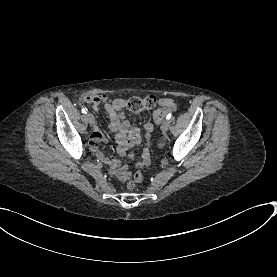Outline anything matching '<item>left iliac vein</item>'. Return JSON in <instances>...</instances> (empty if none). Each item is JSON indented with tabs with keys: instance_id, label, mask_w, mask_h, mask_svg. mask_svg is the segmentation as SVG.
I'll return each instance as SVG.
<instances>
[{
	"instance_id": "4c4485c4",
	"label": "left iliac vein",
	"mask_w": 277,
	"mask_h": 277,
	"mask_svg": "<svg viewBox=\"0 0 277 277\" xmlns=\"http://www.w3.org/2000/svg\"><path fill=\"white\" fill-rule=\"evenodd\" d=\"M169 126H170V122L168 120H164L161 125L162 131L166 132L168 130Z\"/></svg>"
}]
</instances>
